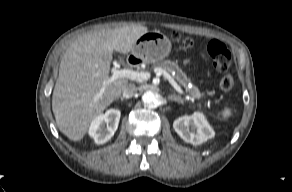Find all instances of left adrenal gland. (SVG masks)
<instances>
[{
  "label": "left adrenal gland",
  "mask_w": 292,
  "mask_h": 192,
  "mask_svg": "<svg viewBox=\"0 0 292 192\" xmlns=\"http://www.w3.org/2000/svg\"><path fill=\"white\" fill-rule=\"evenodd\" d=\"M168 99H169L170 101H176V102H178V103H183V102H184L183 99H182L181 97L176 96V95H170V96L168 97Z\"/></svg>",
  "instance_id": "1"
}]
</instances>
